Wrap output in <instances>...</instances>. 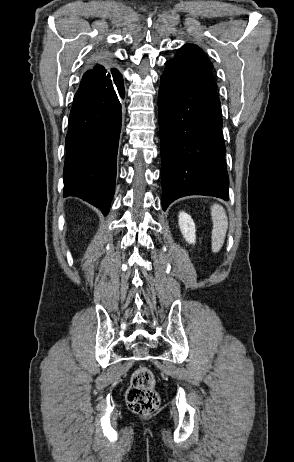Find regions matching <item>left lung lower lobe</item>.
Wrapping results in <instances>:
<instances>
[{"label": "left lung lower lobe", "mask_w": 294, "mask_h": 462, "mask_svg": "<svg viewBox=\"0 0 294 462\" xmlns=\"http://www.w3.org/2000/svg\"><path fill=\"white\" fill-rule=\"evenodd\" d=\"M160 81L163 210L187 195L228 200L221 105L211 70L171 59Z\"/></svg>", "instance_id": "obj_1"}]
</instances>
